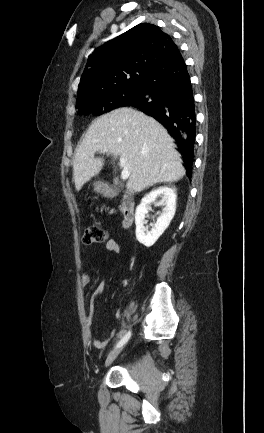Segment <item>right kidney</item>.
I'll return each mask as SVG.
<instances>
[{"mask_svg":"<svg viewBox=\"0 0 264 433\" xmlns=\"http://www.w3.org/2000/svg\"><path fill=\"white\" fill-rule=\"evenodd\" d=\"M157 197L162 198L165 207L163 208L162 214L158 217L157 222L152 224V229L148 231L144 226L147 223L145 220L146 214L148 213L149 205L154 202ZM176 198L175 189L165 186L151 191L142 199L135 213L136 238L141 244L146 247H151L168 228L175 215Z\"/></svg>","mask_w":264,"mask_h":433,"instance_id":"right-kidney-1","label":"right kidney"}]
</instances>
